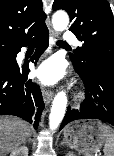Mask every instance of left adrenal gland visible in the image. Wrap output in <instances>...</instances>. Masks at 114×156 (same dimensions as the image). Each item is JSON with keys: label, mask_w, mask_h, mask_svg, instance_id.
<instances>
[{"label": "left adrenal gland", "mask_w": 114, "mask_h": 156, "mask_svg": "<svg viewBox=\"0 0 114 156\" xmlns=\"http://www.w3.org/2000/svg\"><path fill=\"white\" fill-rule=\"evenodd\" d=\"M65 144V140H63L62 142H61V145H64Z\"/></svg>", "instance_id": "a2214340"}]
</instances>
